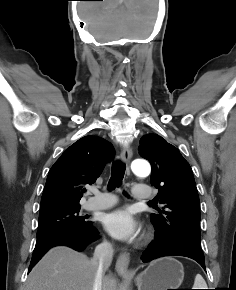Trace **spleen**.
<instances>
[{"label": "spleen", "mask_w": 236, "mask_h": 290, "mask_svg": "<svg viewBox=\"0 0 236 290\" xmlns=\"http://www.w3.org/2000/svg\"><path fill=\"white\" fill-rule=\"evenodd\" d=\"M193 289H207V284L200 274H197L195 276Z\"/></svg>", "instance_id": "obj_1"}]
</instances>
